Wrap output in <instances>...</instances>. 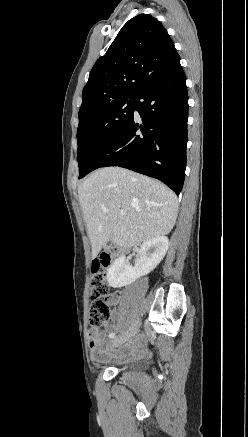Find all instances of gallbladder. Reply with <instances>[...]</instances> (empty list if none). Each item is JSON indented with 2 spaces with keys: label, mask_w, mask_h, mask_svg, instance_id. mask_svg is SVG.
Instances as JSON below:
<instances>
[{
  "label": "gallbladder",
  "mask_w": 248,
  "mask_h": 437,
  "mask_svg": "<svg viewBox=\"0 0 248 437\" xmlns=\"http://www.w3.org/2000/svg\"><path fill=\"white\" fill-rule=\"evenodd\" d=\"M112 246V243L108 244L107 247Z\"/></svg>",
  "instance_id": "1"
}]
</instances>
